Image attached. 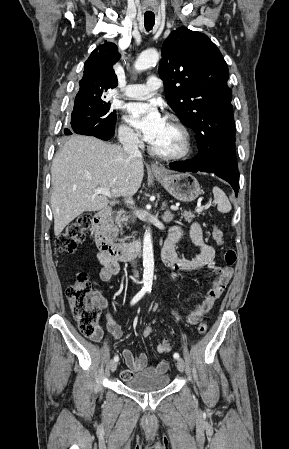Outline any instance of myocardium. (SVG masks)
Instances as JSON below:
<instances>
[{
	"label": "myocardium",
	"instance_id": "myocardium-1",
	"mask_svg": "<svg viewBox=\"0 0 289 449\" xmlns=\"http://www.w3.org/2000/svg\"><path fill=\"white\" fill-rule=\"evenodd\" d=\"M172 127H174L181 135L182 138V146L180 150L173 153H163L154 149L151 145H149V151L152 155L164 159V160H180L189 156L192 151V138L188 128L180 122L177 118L169 116L166 119Z\"/></svg>",
	"mask_w": 289,
	"mask_h": 449
}]
</instances>
